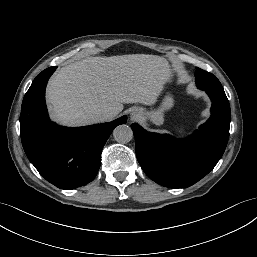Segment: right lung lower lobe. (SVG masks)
<instances>
[{
    "label": "right lung lower lobe",
    "mask_w": 257,
    "mask_h": 257,
    "mask_svg": "<svg viewBox=\"0 0 257 257\" xmlns=\"http://www.w3.org/2000/svg\"><path fill=\"white\" fill-rule=\"evenodd\" d=\"M57 67L42 71L24 96L20 133L24 151L38 172L62 189H74L94 180L102 149L126 116L112 122L78 128L60 127L49 120L45 88Z\"/></svg>",
    "instance_id": "right-lung-lower-lobe-1"
}]
</instances>
